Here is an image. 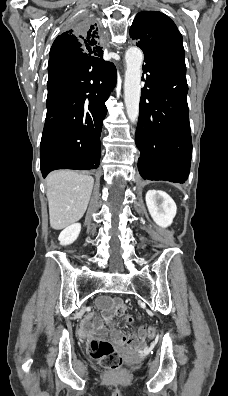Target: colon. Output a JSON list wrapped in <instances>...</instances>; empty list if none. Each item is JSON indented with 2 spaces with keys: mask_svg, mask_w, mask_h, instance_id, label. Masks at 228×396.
Listing matches in <instances>:
<instances>
[{
  "mask_svg": "<svg viewBox=\"0 0 228 396\" xmlns=\"http://www.w3.org/2000/svg\"><path fill=\"white\" fill-rule=\"evenodd\" d=\"M127 321L131 322L132 318L127 316ZM146 336L154 338L157 334V329L154 326H149L145 329ZM91 355L99 364L107 369L117 371L123 364V359L115 347L108 341L102 339H93L89 344Z\"/></svg>",
  "mask_w": 228,
  "mask_h": 396,
  "instance_id": "5ec220e1",
  "label": "colon"
}]
</instances>
